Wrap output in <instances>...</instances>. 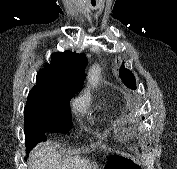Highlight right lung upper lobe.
<instances>
[{"label":"right lung upper lobe","instance_id":"right-lung-upper-lobe-1","mask_svg":"<svg viewBox=\"0 0 177 169\" xmlns=\"http://www.w3.org/2000/svg\"><path fill=\"white\" fill-rule=\"evenodd\" d=\"M86 63L84 54L69 50L52 54L51 63L38 72L27 104L70 100L83 84Z\"/></svg>","mask_w":177,"mask_h":169}]
</instances>
